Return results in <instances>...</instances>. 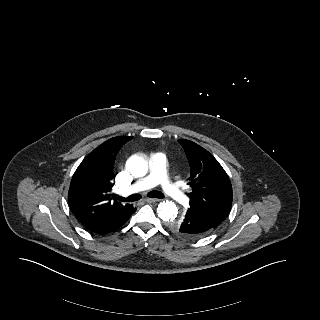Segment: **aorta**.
I'll use <instances>...</instances> for the list:
<instances>
[{
	"mask_svg": "<svg viewBox=\"0 0 320 320\" xmlns=\"http://www.w3.org/2000/svg\"><path fill=\"white\" fill-rule=\"evenodd\" d=\"M129 172L135 177H143L148 172L147 160L139 155L133 154L126 162ZM157 213L160 219L167 223L176 220L178 209L172 201H163L157 207Z\"/></svg>",
	"mask_w": 320,
	"mask_h": 320,
	"instance_id": "762f6f07",
	"label": "aorta"
}]
</instances>
